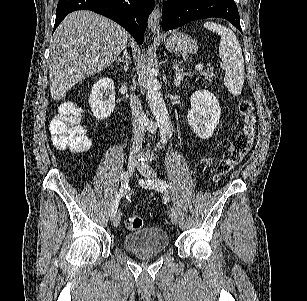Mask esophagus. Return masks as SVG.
<instances>
[{
  "instance_id": "esophagus-1",
  "label": "esophagus",
  "mask_w": 307,
  "mask_h": 301,
  "mask_svg": "<svg viewBox=\"0 0 307 301\" xmlns=\"http://www.w3.org/2000/svg\"><path fill=\"white\" fill-rule=\"evenodd\" d=\"M160 16V9L157 6L148 18V29L151 30L152 33H160Z\"/></svg>"
}]
</instances>
